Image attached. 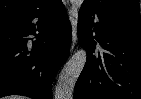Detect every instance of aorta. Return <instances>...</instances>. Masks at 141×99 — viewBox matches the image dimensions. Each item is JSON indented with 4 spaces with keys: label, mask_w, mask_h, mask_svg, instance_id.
Returning <instances> with one entry per match:
<instances>
[{
    "label": "aorta",
    "mask_w": 141,
    "mask_h": 99,
    "mask_svg": "<svg viewBox=\"0 0 141 99\" xmlns=\"http://www.w3.org/2000/svg\"><path fill=\"white\" fill-rule=\"evenodd\" d=\"M77 7L83 4L82 0H72ZM87 52L80 49L73 54L63 67L55 89L54 99H72L75 84L86 63Z\"/></svg>",
    "instance_id": "aorta-1"
}]
</instances>
